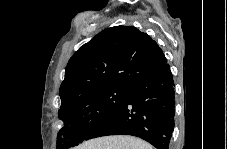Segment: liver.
Wrapping results in <instances>:
<instances>
[{
    "instance_id": "6515ba94",
    "label": "liver",
    "mask_w": 227,
    "mask_h": 149,
    "mask_svg": "<svg viewBox=\"0 0 227 149\" xmlns=\"http://www.w3.org/2000/svg\"><path fill=\"white\" fill-rule=\"evenodd\" d=\"M77 149H152V146L133 136L114 135L86 141Z\"/></svg>"
}]
</instances>
